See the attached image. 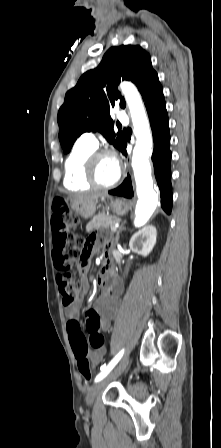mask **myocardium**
Segmentation results:
<instances>
[{
    "label": "myocardium",
    "instance_id": "obj_1",
    "mask_svg": "<svg viewBox=\"0 0 221 448\" xmlns=\"http://www.w3.org/2000/svg\"><path fill=\"white\" fill-rule=\"evenodd\" d=\"M104 155H108L111 156L113 158L116 159V154L109 150V149H96L93 150L85 159L84 161V177L85 180L93 187L95 188H99V189H111L116 187L123 176V171L122 168L120 166H118L119 170H118V175L115 178V180L109 184H102L99 182L97 176H96V162L97 159L100 156H104ZM118 163V162H117Z\"/></svg>",
    "mask_w": 221,
    "mask_h": 448
}]
</instances>
